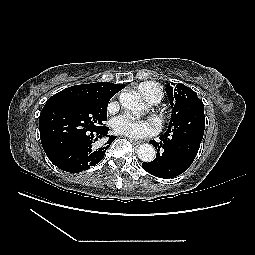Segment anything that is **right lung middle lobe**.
Instances as JSON below:
<instances>
[{
  "label": "right lung middle lobe",
  "instance_id": "1",
  "mask_svg": "<svg viewBox=\"0 0 255 255\" xmlns=\"http://www.w3.org/2000/svg\"><path fill=\"white\" fill-rule=\"evenodd\" d=\"M110 99L48 100L40 114V136L53 146L60 147L68 141L89 133L107 119Z\"/></svg>",
  "mask_w": 255,
  "mask_h": 255
}]
</instances>
